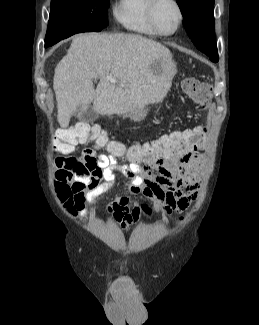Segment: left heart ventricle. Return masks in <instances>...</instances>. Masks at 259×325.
I'll return each instance as SVG.
<instances>
[{
	"label": "left heart ventricle",
	"instance_id": "b2bd125f",
	"mask_svg": "<svg viewBox=\"0 0 259 325\" xmlns=\"http://www.w3.org/2000/svg\"><path fill=\"white\" fill-rule=\"evenodd\" d=\"M154 17L162 32H171L178 22V11L170 0H160L155 8Z\"/></svg>",
	"mask_w": 259,
	"mask_h": 325
}]
</instances>
